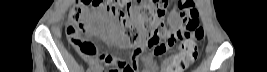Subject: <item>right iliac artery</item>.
Returning a JSON list of instances; mask_svg holds the SVG:
<instances>
[{"label":"right iliac artery","mask_w":267,"mask_h":72,"mask_svg":"<svg viewBox=\"0 0 267 72\" xmlns=\"http://www.w3.org/2000/svg\"><path fill=\"white\" fill-rule=\"evenodd\" d=\"M87 72H91V69H90V68H88V69H87Z\"/></svg>","instance_id":"1"}]
</instances>
